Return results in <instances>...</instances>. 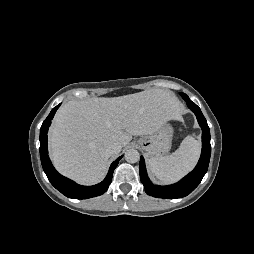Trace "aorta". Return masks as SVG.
I'll use <instances>...</instances> for the list:
<instances>
[{
	"mask_svg": "<svg viewBox=\"0 0 254 254\" xmlns=\"http://www.w3.org/2000/svg\"><path fill=\"white\" fill-rule=\"evenodd\" d=\"M124 157L128 163H136L140 159V154L135 149H129L125 152Z\"/></svg>",
	"mask_w": 254,
	"mask_h": 254,
	"instance_id": "1",
	"label": "aorta"
}]
</instances>
